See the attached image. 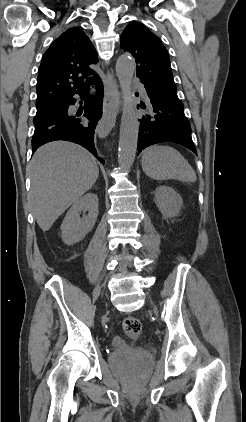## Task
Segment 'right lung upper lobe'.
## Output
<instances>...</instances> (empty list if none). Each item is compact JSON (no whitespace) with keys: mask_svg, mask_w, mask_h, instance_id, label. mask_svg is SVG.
<instances>
[{"mask_svg":"<svg viewBox=\"0 0 246 422\" xmlns=\"http://www.w3.org/2000/svg\"><path fill=\"white\" fill-rule=\"evenodd\" d=\"M97 61V52L82 29L70 28L62 33L42 57L36 85L37 110L85 90L98 76L89 68Z\"/></svg>","mask_w":246,"mask_h":422,"instance_id":"obj_1","label":"right lung upper lobe"}]
</instances>
